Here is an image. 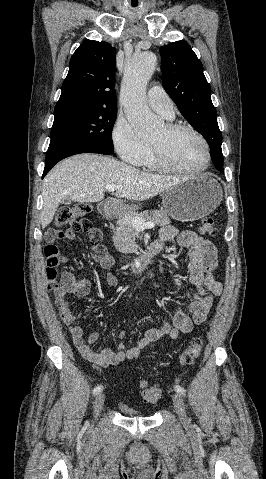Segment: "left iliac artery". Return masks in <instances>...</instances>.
Wrapping results in <instances>:
<instances>
[{
	"label": "left iliac artery",
	"mask_w": 266,
	"mask_h": 479,
	"mask_svg": "<svg viewBox=\"0 0 266 479\" xmlns=\"http://www.w3.org/2000/svg\"><path fill=\"white\" fill-rule=\"evenodd\" d=\"M174 389L176 392H178L180 395L185 396L186 395V390L180 386V385H175Z\"/></svg>",
	"instance_id": "1"
}]
</instances>
